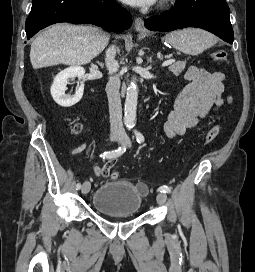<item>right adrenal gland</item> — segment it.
I'll use <instances>...</instances> for the list:
<instances>
[{"label": "right adrenal gland", "mask_w": 255, "mask_h": 272, "mask_svg": "<svg viewBox=\"0 0 255 272\" xmlns=\"http://www.w3.org/2000/svg\"><path fill=\"white\" fill-rule=\"evenodd\" d=\"M98 64L100 65L101 68L104 67V64L102 62H98Z\"/></svg>", "instance_id": "right-adrenal-gland-1"}]
</instances>
